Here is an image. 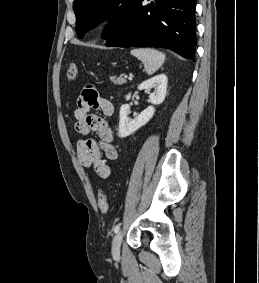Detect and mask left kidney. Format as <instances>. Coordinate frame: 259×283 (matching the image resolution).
Wrapping results in <instances>:
<instances>
[{
	"instance_id": "5707ae66",
	"label": "left kidney",
	"mask_w": 259,
	"mask_h": 283,
	"mask_svg": "<svg viewBox=\"0 0 259 283\" xmlns=\"http://www.w3.org/2000/svg\"><path fill=\"white\" fill-rule=\"evenodd\" d=\"M167 82V76L165 74H159L151 79L144 81L138 86L139 90L145 89L146 91H150L151 89H154V91L149 95V101L152 105L141 112V114H139L134 119L128 117L130 106L128 104L121 106L119 113L120 121L118 130V136L120 138H125L133 134L153 117L155 113V108L153 107V105L161 104L164 101L167 90ZM130 97L131 94L129 93L126 96V100H129Z\"/></svg>"
}]
</instances>
